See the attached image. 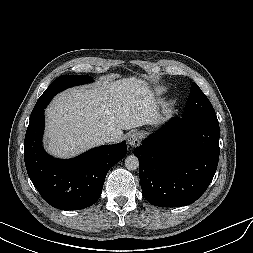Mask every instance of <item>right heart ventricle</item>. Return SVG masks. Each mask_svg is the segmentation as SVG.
Wrapping results in <instances>:
<instances>
[{"mask_svg": "<svg viewBox=\"0 0 253 253\" xmlns=\"http://www.w3.org/2000/svg\"><path fill=\"white\" fill-rule=\"evenodd\" d=\"M166 91H167V89H166L165 87H158V88H156L155 93H156V95L161 96V95H163Z\"/></svg>", "mask_w": 253, "mask_h": 253, "instance_id": "e07e8e85", "label": "right heart ventricle"}]
</instances>
